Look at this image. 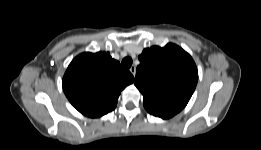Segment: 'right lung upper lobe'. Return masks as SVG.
<instances>
[{
    "label": "right lung upper lobe",
    "instance_id": "right-lung-upper-lobe-1",
    "mask_svg": "<svg viewBox=\"0 0 261 150\" xmlns=\"http://www.w3.org/2000/svg\"><path fill=\"white\" fill-rule=\"evenodd\" d=\"M133 80V75L108 52H86L72 60L62 86L79 112L95 118L114 110L121 91Z\"/></svg>",
    "mask_w": 261,
    "mask_h": 150
}]
</instances>
